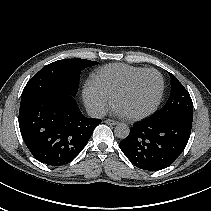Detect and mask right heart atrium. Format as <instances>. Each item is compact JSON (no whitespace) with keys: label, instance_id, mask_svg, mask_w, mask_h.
<instances>
[{"label":"right heart atrium","instance_id":"obj_1","mask_svg":"<svg viewBox=\"0 0 211 211\" xmlns=\"http://www.w3.org/2000/svg\"><path fill=\"white\" fill-rule=\"evenodd\" d=\"M83 96L87 106L95 114H102L111 102V96L92 80L84 86Z\"/></svg>","mask_w":211,"mask_h":211}]
</instances>
